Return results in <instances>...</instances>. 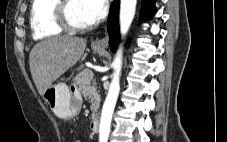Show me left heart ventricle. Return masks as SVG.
Returning <instances> with one entry per match:
<instances>
[{"mask_svg": "<svg viewBox=\"0 0 227 142\" xmlns=\"http://www.w3.org/2000/svg\"><path fill=\"white\" fill-rule=\"evenodd\" d=\"M68 15L77 25H86L92 21L85 14L80 0H70L68 3Z\"/></svg>", "mask_w": 227, "mask_h": 142, "instance_id": "b2bd125f", "label": "left heart ventricle"}]
</instances>
